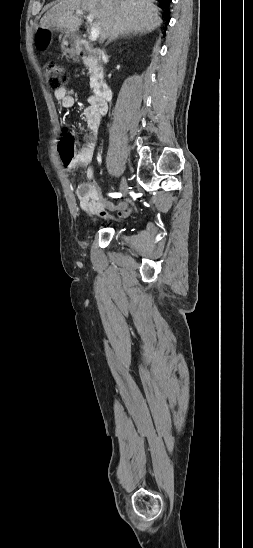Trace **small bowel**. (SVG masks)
<instances>
[{"label":"small bowel","mask_w":253,"mask_h":548,"mask_svg":"<svg viewBox=\"0 0 253 548\" xmlns=\"http://www.w3.org/2000/svg\"><path fill=\"white\" fill-rule=\"evenodd\" d=\"M54 95L63 109H70L74 105L75 99L68 93L66 88L56 90ZM89 103V107L84 111V120L88 131L87 138L78 155L70 162H63L68 170L79 166L86 167L85 175L87 181L81 183L76 189L80 209L84 213L100 215L104 219L109 220L110 217L105 213V209L110 204L103 197L102 191L95 181L94 168L88 165L95 150L101 119L108 107L106 101L97 96H91ZM111 207L117 211V216L120 218L126 216L132 209L129 202H122Z\"/></svg>","instance_id":"small-bowel-1"}]
</instances>
